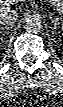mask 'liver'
<instances>
[{"label": "liver", "mask_w": 63, "mask_h": 107, "mask_svg": "<svg viewBox=\"0 0 63 107\" xmlns=\"http://www.w3.org/2000/svg\"><path fill=\"white\" fill-rule=\"evenodd\" d=\"M3 5H8L5 0L1 1V10L4 9V7H2Z\"/></svg>", "instance_id": "6515ba94"}]
</instances>
